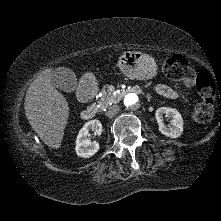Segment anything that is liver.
<instances>
[{
  "label": "liver",
  "mask_w": 221,
  "mask_h": 221,
  "mask_svg": "<svg viewBox=\"0 0 221 221\" xmlns=\"http://www.w3.org/2000/svg\"><path fill=\"white\" fill-rule=\"evenodd\" d=\"M52 69H46L30 84L24 103L26 117L49 147L58 149L69 116L66 98L51 83Z\"/></svg>",
  "instance_id": "6515ba94"
}]
</instances>
